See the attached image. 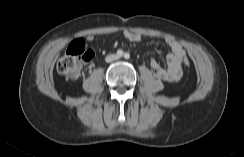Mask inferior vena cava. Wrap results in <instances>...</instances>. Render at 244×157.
<instances>
[{
	"instance_id": "1",
	"label": "inferior vena cava",
	"mask_w": 244,
	"mask_h": 157,
	"mask_svg": "<svg viewBox=\"0 0 244 157\" xmlns=\"http://www.w3.org/2000/svg\"><path fill=\"white\" fill-rule=\"evenodd\" d=\"M117 59V56L115 54H109L106 56L105 61L106 62H112Z\"/></svg>"
}]
</instances>
